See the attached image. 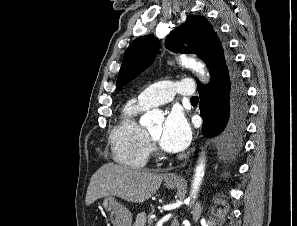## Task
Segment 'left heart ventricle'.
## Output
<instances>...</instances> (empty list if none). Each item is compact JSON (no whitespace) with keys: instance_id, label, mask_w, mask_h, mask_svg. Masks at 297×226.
<instances>
[{"instance_id":"b2bd125f","label":"left heart ventricle","mask_w":297,"mask_h":226,"mask_svg":"<svg viewBox=\"0 0 297 226\" xmlns=\"http://www.w3.org/2000/svg\"><path fill=\"white\" fill-rule=\"evenodd\" d=\"M149 133L151 134V136L154 138V139H159L160 135H161V126H158V127H155V128H152L149 130Z\"/></svg>"}]
</instances>
